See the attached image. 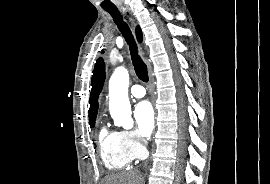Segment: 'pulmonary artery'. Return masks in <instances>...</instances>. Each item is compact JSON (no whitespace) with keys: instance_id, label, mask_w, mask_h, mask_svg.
I'll return each mask as SVG.
<instances>
[{"instance_id":"pulmonary-artery-1","label":"pulmonary artery","mask_w":270,"mask_h":184,"mask_svg":"<svg viewBox=\"0 0 270 184\" xmlns=\"http://www.w3.org/2000/svg\"><path fill=\"white\" fill-rule=\"evenodd\" d=\"M130 93L135 98H142L145 95V89L141 85H134L131 87Z\"/></svg>"}]
</instances>
